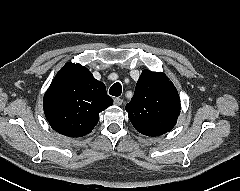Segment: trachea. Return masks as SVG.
I'll return each instance as SVG.
<instances>
[{"mask_svg":"<svg viewBox=\"0 0 240 191\" xmlns=\"http://www.w3.org/2000/svg\"><path fill=\"white\" fill-rule=\"evenodd\" d=\"M122 93V86L119 82H116L115 84H113L109 90V94L112 96H120Z\"/></svg>","mask_w":240,"mask_h":191,"instance_id":"3493384b","label":"trachea"}]
</instances>
